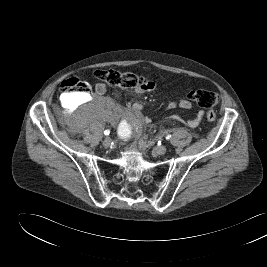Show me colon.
<instances>
[{"label": "colon", "mask_w": 267, "mask_h": 267, "mask_svg": "<svg viewBox=\"0 0 267 267\" xmlns=\"http://www.w3.org/2000/svg\"><path fill=\"white\" fill-rule=\"evenodd\" d=\"M94 76L113 87L124 89H139L151 86V81L132 72H121L118 70H97ZM60 91L66 96H82L89 92V86L78 79H68L62 82ZM188 98L199 106L207 109L206 118L210 122L216 120V114L212 110L218 103V95L207 90H194L188 94Z\"/></svg>", "instance_id": "colon-1"}]
</instances>
